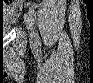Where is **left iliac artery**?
Instances as JSON below:
<instances>
[{"instance_id":"1","label":"left iliac artery","mask_w":93,"mask_h":83,"mask_svg":"<svg viewBox=\"0 0 93 83\" xmlns=\"http://www.w3.org/2000/svg\"><path fill=\"white\" fill-rule=\"evenodd\" d=\"M30 14H31L33 20H35V18H36V13H35V11H34L33 8H30ZM36 44H38V45L40 44V38H39L38 35H36Z\"/></svg>"}]
</instances>
